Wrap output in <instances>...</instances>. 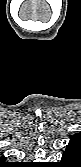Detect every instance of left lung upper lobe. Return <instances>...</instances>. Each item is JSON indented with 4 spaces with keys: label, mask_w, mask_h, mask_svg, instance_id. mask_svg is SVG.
Returning <instances> with one entry per match:
<instances>
[{
    "label": "left lung upper lobe",
    "mask_w": 81,
    "mask_h": 167,
    "mask_svg": "<svg viewBox=\"0 0 81 167\" xmlns=\"http://www.w3.org/2000/svg\"><path fill=\"white\" fill-rule=\"evenodd\" d=\"M71 139L81 141V136H80V134H75L74 136L71 137Z\"/></svg>",
    "instance_id": "obj_1"
}]
</instances>
